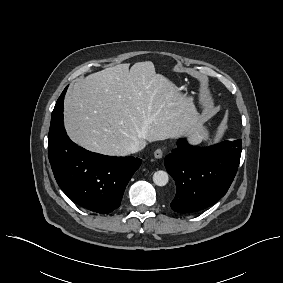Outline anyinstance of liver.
<instances>
[{
  "instance_id": "liver-1",
  "label": "liver",
  "mask_w": 283,
  "mask_h": 283,
  "mask_svg": "<svg viewBox=\"0 0 283 283\" xmlns=\"http://www.w3.org/2000/svg\"><path fill=\"white\" fill-rule=\"evenodd\" d=\"M64 124L78 145L104 155L127 156L135 141L188 137L200 142L202 119L151 61L119 64L79 79L64 101Z\"/></svg>"
}]
</instances>
